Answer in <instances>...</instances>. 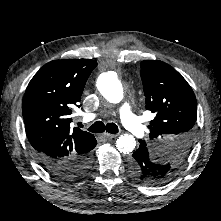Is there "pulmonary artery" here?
<instances>
[{"label":"pulmonary artery","mask_w":221,"mask_h":221,"mask_svg":"<svg viewBox=\"0 0 221 221\" xmlns=\"http://www.w3.org/2000/svg\"><path fill=\"white\" fill-rule=\"evenodd\" d=\"M120 116L123 124L135 135L143 136L145 134V127L139 117H137L128 103H125L120 108ZM86 120H93L96 118L95 114L85 116Z\"/></svg>","instance_id":"e3ab8cb5"}]
</instances>
